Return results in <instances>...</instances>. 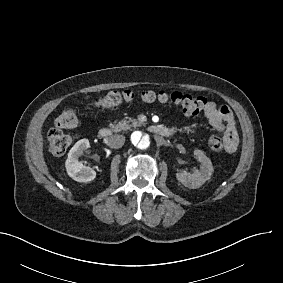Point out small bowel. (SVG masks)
Segmentation results:
<instances>
[{
  "label": "small bowel",
  "mask_w": 283,
  "mask_h": 283,
  "mask_svg": "<svg viewBox=\"0 0 283 283\" xmlns=\"http://www.w3.org/2000/svg\"><path fill=\"white\" fill-rule=\"evenodd\" d=\"M222 108V109H221ZM233 106L231 104H224L222 107L214 102H208L204 107V115L207 118L211 127L223 134L227 139L228 147L226 152L232 154L236 152L239 144L238 135L234 127V114ZM168 135L174 134L177 129L174 127H165ZM180 130L184 132L194 133L198 131V127L195 125H187L182 127Z\"/></svg>",
  "instance_id": "small-bowel-1"
}]
</instances>
